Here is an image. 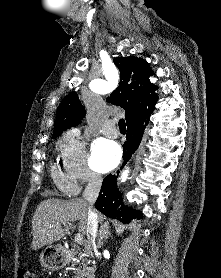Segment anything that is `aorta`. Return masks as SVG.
Wrapping results in <instances>:
<instances>
[{"mask_svg": "<svg viewBox=\"0 0 221 278\" xmlns=\"http://www.w3.org/2000/svg\"><path fill=\"white\" fill-rule=\"evenodd\" d=\"M128 177V170H125L121 175V181L124 182Z\"/></svg>", "mask_w": 221, "mask_h": 278, "instance_id": "762f6f07", "label": "aorta"}]
</instances>
